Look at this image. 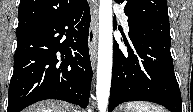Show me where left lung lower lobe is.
Listing matches in <instances>:
<instances>
[{"label": "left lung lower lobe", "mask_w": 193, "mask_h": 112, "mask_svg": "<svg viewBox=\"0 0 193 112\" xmlns=\"http://www.w3.org/2000/svg\"><path fill=\"white\" fill-rule=\"evenodd\" d=\"M133 48L123 54L114 44L108 112L127 101H151L182 112L179 86L170 53L169 18L128 23Z\"/></svg>", "instance_id": "left-lung-lower-lobe-1"}]
</instances>
